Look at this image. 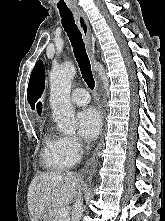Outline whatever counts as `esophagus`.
<instances>
[{
    "instance_id": "obj_1",
    "label": "esophagus",
    "mask_w": 165,
    "mask_h": 221,
    "mask_svg": "<svg viewBox=\"0 0 165 221\" xmlns=\"http://www.w3.org/2000/svg\"><path fill=\"white\" fill-rule=\"evenodd\" d=\"M74 17L78 23L80 31L82 33L84 42L86 44V48L90 57L92 64H95L97 61V56L95 54V42L91 36V29L88 22V19L85 13L81 9H74L73 10Z\"/></svg>"
}]
</instances>
